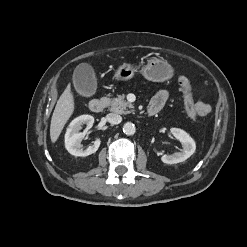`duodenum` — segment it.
I'll use <instances>...</instances> for the list:
<instances>
[{"label": "duodenum", "instance_id": "duodenum-1", "mask_svg": "<svg viewBox=\"0 0 247 247\" xmlns=\"http://www.w3.org/2000/svg\"><path fill=\"white\" fill-rule=\"evenodd\" d=\"M106 106L107 99L105 97L94 98L89 102V109L95 113L102 112ZM147 114L148 116H153L155 115V111L148 109Z\"/></svg>", "mask_w": 247, "mask_h": 247}]
</instances>
